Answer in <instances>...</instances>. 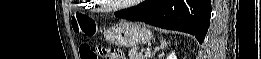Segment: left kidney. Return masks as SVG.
Returning <instances> with one entry per match:
<instances>
[{"instance_id":"left-kidney-1","label":"left kidney","mask_w":261,"mask_h":59,"mask_svg":"<svg viewBox=\"0 0 261 59\" xmlns=\"http://www.w3.org/2000/svg\"><path fill=\"white\" fill-rule=\"evenodd\" d=\"M167 59H177L175 52H171L168 56Z\"/></svg>"}]
</instances>
